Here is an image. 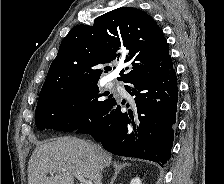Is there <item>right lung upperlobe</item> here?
Segmentation results:
<instances>
[{
    "label": "right lung upper lobe",
    "instance_id": "right-lung-upper-lobe-1",
    "mask_svg": "<svg viewBox=\"0 0 224 184\" xmlns=\"http://www.w3.org/2000/svg\"><path fill=\"white\" fill-rule=\"evenodd\" d=\"M122 60L128 65L117 78L126 82L171 66L166 39L145 12L122 7L97 17L93 25H77L62 40L38 102L72 85L98 82L101 64ZM108 66L104 69L108 70Z\"/></svg>",
    "mask_w": 224,
    "mask_h": 184
}]
</instances>
